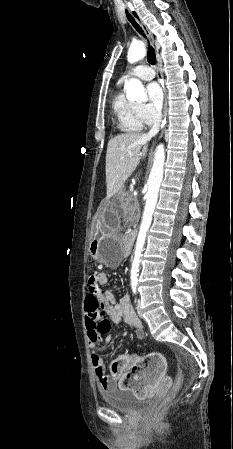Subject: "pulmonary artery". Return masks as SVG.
I'll return each mask as SVG.
<instances>
[{"label": "pulmonary artery", "instance_id": "pulmonary-artery-1", "mask_svg": "<svg viewBox=\"0 0 233 449\" xmlns=\"http://www.w3.org/2000/svg\"><path fill=\"white\" fill-rule=\"evenodd\" d=\"M134 76L144 81H149L155 77V71L152 67L148 65H139L131 72L123 75L119 82L122 83L126 81L129 77Z\"/></svg>", "mask_w": 233, "mask_h": 449}]
</instances>
